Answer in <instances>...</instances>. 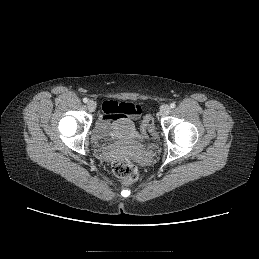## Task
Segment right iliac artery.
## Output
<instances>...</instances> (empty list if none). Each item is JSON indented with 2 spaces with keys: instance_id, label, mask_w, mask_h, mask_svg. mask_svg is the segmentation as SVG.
<instances>
[{
  "instance_id": "82829eb1",
  "label": "right iliac artery",
  "mask_w": 259,
  "mask_h": 259,
  "mask_svg": "<svg viewBox=\"0 0 259 259\" xmlns=\"http://www.w3.org/2000/svg\"><path fill=\"white\" fill-rule=\"evenodd\" d=\"M83 102H84V103H87V102H88V99H87V98H83Z\"/></svg>"
}]
</instances>
